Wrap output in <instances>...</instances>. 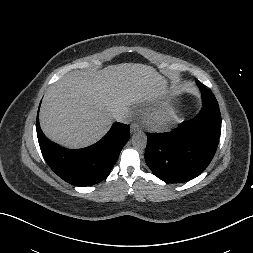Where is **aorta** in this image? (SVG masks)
<instances>
[{"label": "aorta", "mask_w": 253, "mask_h": 253, "mask_svg": "<svg viewBox=\"0 0 253 253\" xmlns=\"http://www.w3.org/2000/svg\"><path fill=\"white\" fill-rule=\"evenodd\" d=\"M132 144L138 150H143L147 145V136L143 132H137L132 136Z\"/></svg>", "instance_id": "obj_1"}]
</instances>
